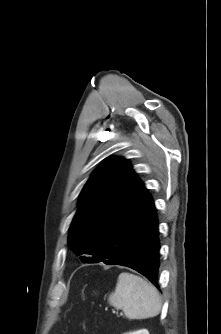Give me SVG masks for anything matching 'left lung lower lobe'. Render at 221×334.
Instances as JSON below:
<instances>
[{
	"label": "left lung lower lobe",
	"instance_id": "left-lung-lower-lobe-1",
	"mask_svg": "<svg viewBox=\"0 0 221 334\" xmlns=\"http://www.w3.org/2000/svg\"><path fill=\"white\" fill-rule=\"evenodd\" d=\"M158 235L154 202L141 183L100 238L92 263L130 267L159 289Z\"/></svg>",
	"mask_w": 221,
	"mask_h": 334
}]
</instances>
